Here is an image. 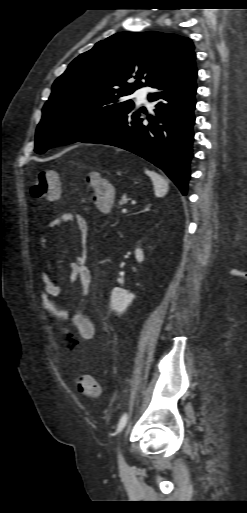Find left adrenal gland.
Masks as SVG:
<instances>
[{"mask_svg":"<svg viewBox=\"0 0 247 513\" xmlns=\"http://www.w3.org/2000/svg\"><path fill=\"white\" fill-rule=\"evenodd\" d=\"M150 207H151V204H148V205L145 207V209H144L143 211H141V212L149 211V210H150Z\"/></svg>","mask_w":247,"mask_h":513,"instance_id":"obj_1","label":"left adrenal gland"}]
</instances>
